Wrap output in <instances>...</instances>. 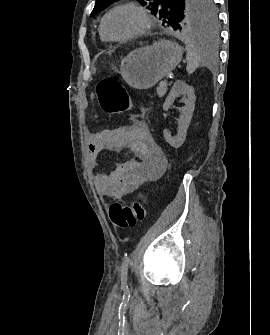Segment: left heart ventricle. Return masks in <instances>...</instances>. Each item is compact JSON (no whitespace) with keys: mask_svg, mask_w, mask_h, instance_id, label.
Returning a JSON list of instances; mask_svg holds the SVG:
<instances>
[{"mask_svg":"<svg viewBox=\"0 0 270 335\" xmlns=\"http://www.w3.org/2000/svg\"><path fill=\"white\" fill-rule=\"evenodd\" d=\"M142 26V16L136 10L129 7L114 11L106 21L107 31L113 37H121L135 32Z\"/></svg>","mask_w":270,"mask_h":335,"instance_id":"left-heart-ventricle-1","label":"left heart ventricle"}]
</instances>
